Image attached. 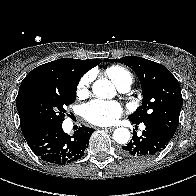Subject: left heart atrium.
Masks as SVG:
<instances>
[{
  "instance_id": "obj_1",
  "label": "left heart atrium",
  "mask_w": 196,
  "mask_h": 196,
  "mask_svg": "<svg viewBox=\"0 0 196 196\" xmlns=\"http://www.w3.org/2000/svg\"><path fill=\"white\" fill-rule=\"evenodd\" d=\"M120 103L107 100H93L83 107V116L90 123L96 125H110L122 114Z\"/></svg>"
}]
</instances>
